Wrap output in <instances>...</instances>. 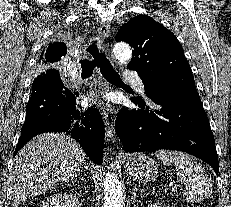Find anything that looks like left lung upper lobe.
Here are the masks:
<instances>
[{
	"label": "left lung upper lobe",
	"instance_id": "left-lung-upper-lobe-1",
	"mask_svg": "<svg viewBox=\"0 0 231 207\" xmlns=\"http://www.w3.org/2000/svg\"><path fill=\"white\" fill-rule=\"evenodd\" d=\"M116 41L132 46L133 58L127 68L137 71L148 97H176L197 92L181 44L171 31L149 16L132 18L119 29Z\"/></svg>",
	"mask_w": 231,
	"mask_h": 207
}]
</instances>
